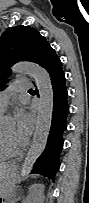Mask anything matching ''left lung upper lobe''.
Wrapping results in <instances>:
<instances>
[{"mask_svg":"<svg viewBox=\"0 0 89 203\" xmlns=\"http://www.w3.org/2000/svg\"><path fill=\"white\" fill-rule=\"evenodd\" d=\"M49 43L35 28L16 26L0 37V90L8 82L10 67L19 60H29L40 65L43 52Z\"/></svg>","mask_w":89,"mask_h":203,"instance_id":"5c2ea615","label":"left lung upper lobe"}]
</instances>
